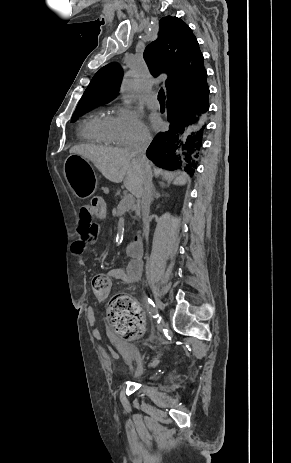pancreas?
Segmentation results:
<instances>
[{
	"mask_svg": "<svg viewBox=\"0 0 291 463\" xmlns=\"http://www.w3.org/2000/svg\"><path fill=\"white\" fill-rule=\"evenodd\" d=\"M115 197H116V198H117V197H120V198H123V197H124V196L122 195L120 189H117V190L115 191Z\"/></svg>",
	"mask_w": 291,
	"mask_h": 463,
	"instance_id": "1",
	"label": "pancreas"
}]
</instances>
